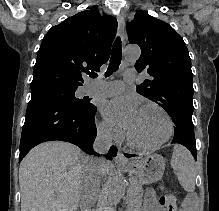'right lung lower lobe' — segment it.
<instances>
[{"label": "right lung lower lobe", "instance_id": "obj_1", "mask_svg": "<svg viewBox=\"0 0 219 211\" xmlns=\"http://www.w3.org/2000/svg\"><path fill=\"white\" fill-rule=\"evenodd\" d=\"M96 106L77 107L54 89L31 90L20 141L19 162L36 145L53 140L70 142L84 152L98 155L93 150L96 138L94 115ZM112 146L107 158L115 157Z\"/></svg>", "mask_w": 219, "mask_h": 211}]
</instances>
